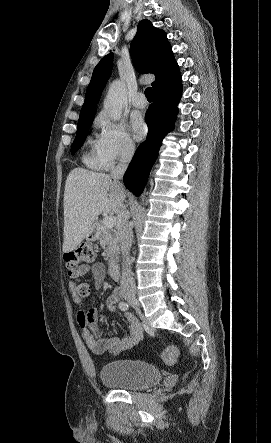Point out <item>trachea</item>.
<instances>
[{
    "label": "trachea",
    "instance_id": "1",
    "mask_svg": "<svg viewBox=\"0 0 271 443\" xmlns=\"http://www.w3.org/2000/svg\"><path fill=\"white\" fill-rule=\"evenodd\" d=\"M145 96L147 97V100H152V88L151 87L146 88Z\"/></svg>",
    "mask_w": 271,
    "mask_h": 443
}]
</instances>
